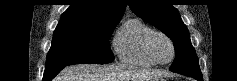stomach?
Listing matches in <instances>:
<instances>
[{"mask_svg": "<svg viewBox=\"0 0 237 81\" xmlns=\"http://www.w3.org/2000/svg\"><path fill=\"white\" fill-rule=\"evenodd\" d=\"M152 81H165V79L163 77L156 79V80H152Z\"/></svg>", "mask_w": 237, "mask_h": 81, "instance_id": "obj_1", "label": "stomach"}]
</instances>
